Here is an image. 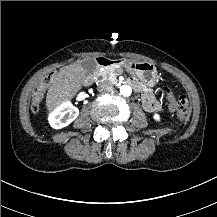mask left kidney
I'll return each instance as SVG.
<instances>
[{
	"instance_id": "1",
	"label": "left kidney",
	"mask_w": 217,
	"mask_h": 217,
	"mask_svg": "<svg viewBox=\"0 0 217 217\" xmlns=\"http://www.w3.org/2000/svg\"><path fill=\"white\" fill-rule=\"evenodd\" d=\"M153 118H154L155 121H160V115L157 114V113L154 114Z\"/></svg>"
}]
</instances>
